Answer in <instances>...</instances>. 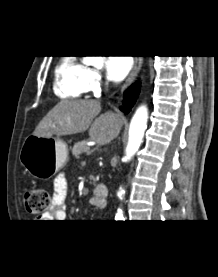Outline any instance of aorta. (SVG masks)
<instances>
[{
	"instance_id": "obj_1",
	"label": "aorta",
	"mask_w": 218,
	"mask_h": 277,
	"mask_svg": "<svg viewBox=\"0 0 218 277\" xmlns=\"http://www.w3.org/2000/svg\"><path fill=\"white\" fill-rule=\"evenodd\" d=\"M96 67H100L103 65V56H88L87 59ZM147 119H148V109L145 105H141L136 110L132 120L130 122L129 127V138L128 144L126 147V160H130L131 157L138 151L142 139L144 137V132L147 128ZM125 194V190L120 188L117 195L120 199H122L123 195ZM117 219L123 218V213L121 209L118 210L116 214Z\"/></svg>"
}]
</instances>
